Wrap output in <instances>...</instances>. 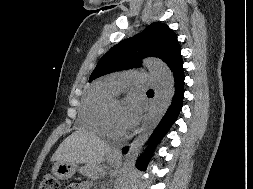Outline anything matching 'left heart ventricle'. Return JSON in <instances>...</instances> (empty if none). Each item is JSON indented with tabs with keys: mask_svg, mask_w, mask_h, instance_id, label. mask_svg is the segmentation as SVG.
Instances as JSON below:
<instances>
[{
	"mask_svg": "<svg viewBox=\"0 0 253 189\" xmlns=\"http://www.w3.org/2000/svg\"><path fill=\"white\" fill-rule=\"evenodd\" d=\"M110 121L112 127L117 131H125L128 129L123 120V105L118 101L111 103Z\"/></svg>",
	"mask_w": 253,
	"mask_h": 189,
	"instance_id": "obj_1",
	"label": "left heart ventricle"
}]
</instances>
